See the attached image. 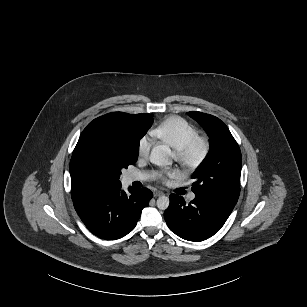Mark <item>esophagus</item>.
<instances>
[{
    "instance_id": "esophagus-1",
    "label": "esophagus",
    "mask_w": 307,
    "mask_h": 307,
    "mask_svg": "<svg viewBox=\"0 0 307 307\" xmlns=\"http://www.w3.org/2000/svg\"><path fill=\"white\" fill-rule=\"evenodd\" d=\"M153 195H154V197H159V196H163L164 193L162 191L156 190V191H154Z\"/></svg>"
}]
</instances>
